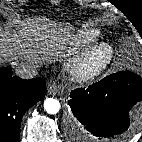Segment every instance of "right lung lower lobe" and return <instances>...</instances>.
I'll list each match as a JSON object with an SVG mask.
<instances>
[{
	"label": "right lung lower lobe",
	"instance_id": "obj_1",
	"mask_svg": "<svg viewBox=\"0 0 142 142\" xmlns=\"http://www.w3.org/2000/svg\"><path fill=\"white\" fill-rule=\"evenodd\" d=\"M12 75L10 69H0V142L19 141L24 113L47 91L42 78L23 80Z\"/></svg>",
	"mask_w": 142,
	"mask_h": 142
}]
</instances>
